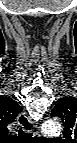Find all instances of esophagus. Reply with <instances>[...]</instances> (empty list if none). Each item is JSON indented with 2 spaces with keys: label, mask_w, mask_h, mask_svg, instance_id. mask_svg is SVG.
I'll return each instance as SVG.
<instances>
[{
  "label": "esophagus",
  "mask_w": 77,
  "mask_h": 143,
  "mask_svg": "<svg viewBox=\"0 0 77 143\" xmlns=\"http://www.w3.org/2000/svg\"><path fill=\"white\" fill-rule=\"evenodd\" d=\"M17 122L26 133H30L34 130V121L26 113L19 114Z\"/></svg>",
  "instance_id": "1"
}]
</instances>
